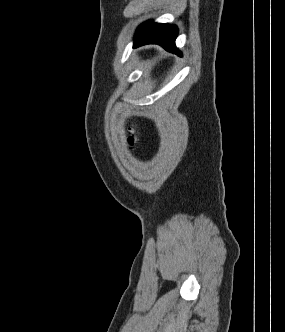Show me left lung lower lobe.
I'll list each match as a JSON object with an SVG mask.
<instances>
[{
	"mask_svg": "<svg viewBox=\"0 0 285 332\" xmlns=\"http://www.w3.org/2000/svg\"><path fill=\"white\" fill-rule=\"evenodd\" d=\"M177 34L178 29L175 25L158 24L148 21L138 28L134 47L155 43L161 45L170 52L182 56L175 46Z\"/></svg>",
	"mask_w": 285,
	"mask_h": 332,
	"instance_id": "1",
	"label": "left lung lower lobe"
}]
</instances>
